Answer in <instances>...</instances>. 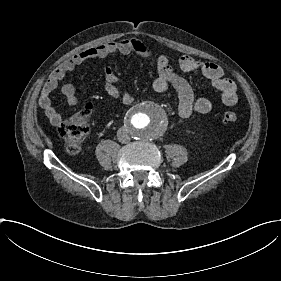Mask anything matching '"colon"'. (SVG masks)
<instances>
[{
    "label": "colon",
    "instance_id": "5ec220e1",
    "mask_svg": "<svg viewBox=\"0 0 281 281\" xmlns=\"http://www.w3.org/2000/svg\"><path fill=\"white\" fill-rule=\"evenodd\" d=\"M222 120L226 124H236L239 115L235 110L227 109L222 113ZM60 134L68 150L77 153L81 150L82 142L88 134V126L81 119H69L61 126Z\"/></svg>",
    "mask_w": 281,
    "mask_h": 281
}]
</instances>
